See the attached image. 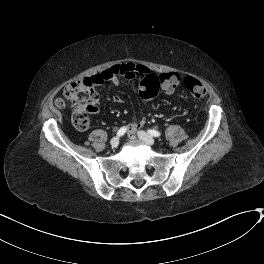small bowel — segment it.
I'll list each match as a JSON object with an SVG mask.
<instances>
[{
	"label": "small bowel",
	"mask_w": 264,
	"mask_h": 264,
	"mask_svg": "<svg viewBox=\"0 0 264 264\" xmlns=\"http://www.w3.org/2000/svg\"><path fill=\"white\" fill-rule=\"evenodd\" d=\"M120 66L125 67V74H122L126 79L133 81H143L146 77L151 74L150 69L142 64L125 63ZM118 74L114 71V67L106 69L100 73L93 75L90 80L95 84H102L105 82H112L114 85H119ZM112 99L114 102L121 104L122 98L119 95H113ZM144 119H139L135 123L128 126L131 133L135 134L144 125Z\"/></svg>",
	"instance_id": "1"
}]
</instances>
